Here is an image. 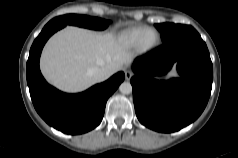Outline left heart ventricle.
<instances>
[{
  "instance_id": "1",
  "label": "left heart ventricle",
  "mask_w": 238,
  "mask_h": 158,
  "mask_svg": "<svg viewBox=\"0 0 238 158\" xmlns=\"http://www.w3.org/2000/svg\"><path fill=\"white\" fill-rule=\"evenodd\" d=\"M156 39V34L154 32H149L147 35H146V38H145V42L147 44H151L155 41Z\"/></svg>"
}]
</instances>
